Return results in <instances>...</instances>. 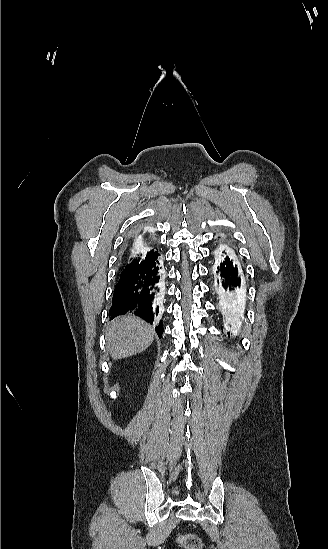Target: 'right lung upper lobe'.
<instances>
[{"label": "right lung upper lobe", "mask_w": 328, "mask_h": 549, "mask_svg": "<svg viewBox=\"0 0 328 549\" xmlns=\"http://www.w3.org/2000/svg\"><path fill=\"white\" fill-rule=\"evenodd\" d=\"M127 250L121 261V275L128 274L137 269L143 261L159 254L157 242L151 228L148 226L138 228L133 233V240L127 244Z\"/></svg>", "instance_id": "1"}]
</instances>
